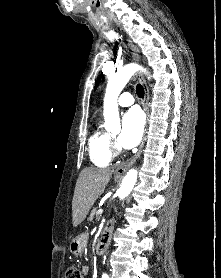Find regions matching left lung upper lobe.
<instances>
[{
  "instance_id": "5c2ea615",
  "label": "left lung upper lobe",
  "mask_w": 221,
  "mask_h": 278,
  "mask_svg": "<svg viewBox=\"0 0 221 278\" xmlns=\"http://www.w3.org/2000/svg\"><path fill=\"white\" fill-rule=\"evenodd\" d=\"M100 79H101V75L99 76V78H98V80H97V82H96L95 89L97 88V86H98V84H99V82H100Z\"/></svg>"
}]
</instances>
